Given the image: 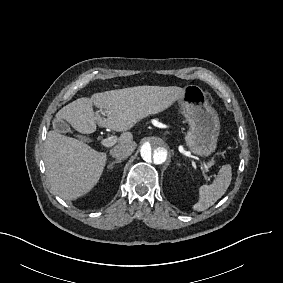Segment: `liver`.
I'll list each match as a JSON object with an SVG mask.
<instances>
[{"instance_id":"1","label":"liver","mask_w":283,"mask_h":283,"mask_svg":"<svg viewBox=\"0 0 283 283\" xmlns=\"http://www.w3.org/2000/svg\"><path fill=\"white\" fill-rule=\"evenodd\" d=\"M185 89L177 86H136L95 93L79 98L56 114L83 134L96 131L97 124L121 132L132 128L141 119L170 107L184 97ZM93 104L105 110L106 119L94 113ZM130 132L121 134L119 143L137 144ZM46 176L61 198L75 200L89 192L98 182L106 154L97 152L83 141L67 137L56 130L49 131L44 146Z\"/></svg>"}]
</instances>
